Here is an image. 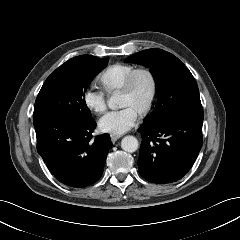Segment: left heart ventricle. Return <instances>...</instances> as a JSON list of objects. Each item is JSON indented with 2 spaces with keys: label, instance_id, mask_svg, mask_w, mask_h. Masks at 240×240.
<instances>
[{
  "label": "left heart ventricle",
  "instance_id": "b2bd125f",
  "mask_svg": "<svg viewBox=\"0 0 240 240\" xmlns=\"http://www.w3.org/2000/svg\"><path fill=\"white\" fill-rule=\"evenodd\" d=\"M151 93V82L148 76L140 75L136 79L135 87L130 93L119 94V105L131 107L137 113L146 105Z\"/></svg>",
  "mask_w": 240,
  "mask_h": 240
}]
</instances>
